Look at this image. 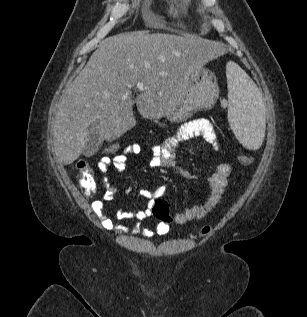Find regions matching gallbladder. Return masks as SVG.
<instances>
[{
	"label": "gallbladder",
	"instance_id": "gallbladder-1",
	"mask_svg": "<svg viewBox=\"0 0 307 317\" xmlns=\"http://www.w3.org/2000/svg\"><path fill=\"white\" fill-rule=\"evenodd\" d=\"M102 144L100 136V127L98 121H95L89 128V135L87 143L85 144L83 155L85 157L93 156Z\"/></svg>",
	"mask_w": 307,
	"mask_h": 317
}]
</instances>
